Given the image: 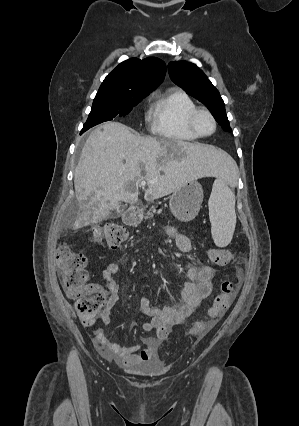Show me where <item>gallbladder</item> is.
Instances as JSON below:
<instances>
[{"label":"gallbladder","instance_id":"bac80fb5","mask_svg":"<svg viewBox=\"0 0 299 426\" xmlns=\"http://www.w3.org/2000/svg\"><path fill=\"white\" fill-rule=\"evenodd\" d=\"M123 210H124V205L119 206V207L116 209V212H114V213L110 214V218H115V217H116V215H118L119 213H121Z\"/></svg>","mask_w":299,"mask_h":426}]
</instances>
